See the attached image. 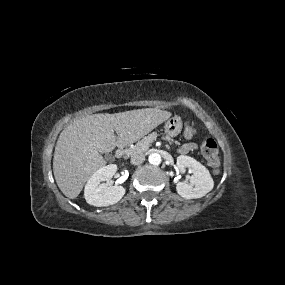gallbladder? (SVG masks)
I'll use <instances>...</instances> for the list:
<instances>
[{
	"label": "gallbladder",
	"mask_w": 285,
	"mask_h": 285,
	"mask_svg": "<svg viewBox=\"0 0 285 285\" xmlns=\"http://www.w3.org/2000/svg\"><path fill=\"white\" fill-rule=\"evenodd\" d=\"M105 159L108 160V161H112V160H113V157H112L111 154L106 153V154H105Z\"/></svg>",
	"instance_id": "1"
}]
</instances>
